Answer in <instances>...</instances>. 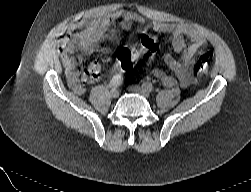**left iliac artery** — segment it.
I'll list each match as a JSON object with an SVG mask.
<instances>
[{
  "label": "left iliac artery",
  "instance_id": "left-iliac-artery-1",
  "mask_svg": "<svg viewBox=\"0 0 251 192\" xmlns=\"http://www.w3.org/2000/svg\"><path fill=\"white\" fill-rule=\"evenodd\" d=\"M142 87H144L149 92H153L155 90L154 86L151 83H144Z\"/></svg>",
  "mask_w": 251,
  "mask_h": 192
}]
</instances>
